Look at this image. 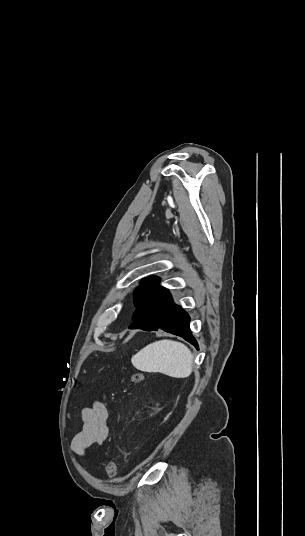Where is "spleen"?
Here are the masks:
<instances>
[{
    "mask_svg": "<svg viewBox=\"0 0 305 536\" xmlns=\"http://www.w3.org/2000/svg\"><path fill=\"white\" fill-rule=\"evenodd\" d=\"M131 362L141 372H160L170 378H188L192 372L193 354L181 342L160 340L132 356Z\"/></svg>",
    "mask_w": 305,
    "mask_h": 536,
    "instance_id": "1",
    "label": "spleen"
}]
</instances>
